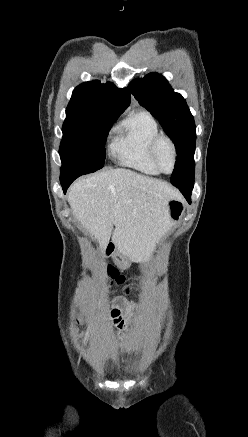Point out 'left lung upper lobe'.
I'll return each instance as SVG.
<instances>
[{"label": "left lung upper lobe", "instance_id": "5c2ea615", "mask_svg": "<svg viewBox=\"0 0 248 437\" xmlns=\"http://www.w3.org/2000/svg\"><path fill=\"white\" fill-rule=\"evenodd\" d=\"M129 91L163 125L174 142L177 161L171 183L189 190L194 185L196 126L185 99L158 73L132 81Z\"/></svg>", "mask_w": 248, "mask_h": 437}]
</instances>
